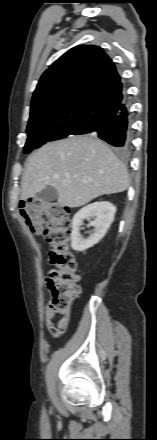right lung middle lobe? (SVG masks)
<instances>
[{
	"mask_svg": "<svg viewBox=\"0 0 157 440\" xmlns=\"http://www.w3.org/2000/svg\"><path fill=\"white\" fill-rule=\"evenodd\" d=\"M26 132L28 138L24 146L25 153L39 148L48 141L86 134L84 123L46 120L29 121Z\"/></svg>",
	"mask_w": 157,
	"mask_h": 440,
	"instance_id": "dd1d6c3e",
	"label": "right lung middle lobe"
}]
</instances>
